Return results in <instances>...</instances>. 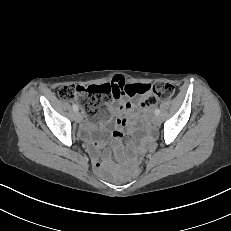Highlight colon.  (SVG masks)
<instances>
[{
    "instance_id": "5ec220e1",
    "label": "colon",
    "mask_w": 231,
    "mask_h": 231,
    "mask_svg": "<svg viewBox=\"0 0 231 231\" xmlns=\"http://www.w3.org/2000/svg\"><path fill=\"white\" fill-rule=\"evenodd\" d=\"M130 94L146 95L145 106H154L158 99H169L174 94V86L166 82H156L153 85L137 84L128 88ZM120 89L111 83L92 85L88 87L65 85L58 89V96L63 100L77 101L86 114L93 120H107L109 111L107 104L120 94ZM141 164H136L131 174L141 173Z\"/></svg>"
}]
</instances>
